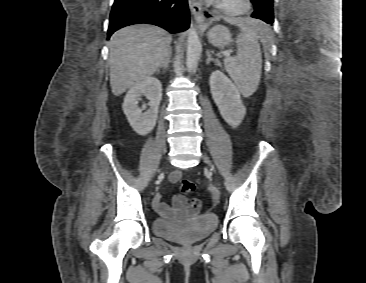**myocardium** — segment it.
<instances>
[{
	"instance_id": "obj_1",
	"label": "myocardium",
	"mask_w": 366,
	"mask_h": 283,
	"mask_svg": "<svg viewBox=\"0 0 366 283\" xmlns=\"http://www.w3.org/2000/svg\"><path fill=\"white\" fill-rule=\"evenodd\" d=\"M251 7V0H220L216 4L219 12L231 17L244 15L250 11Z\"/></svg>"
}]
</instances>
